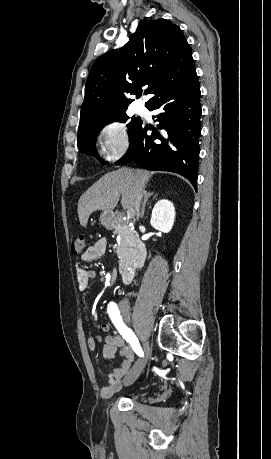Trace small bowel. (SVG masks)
<instances>
[{"instance_id":"1","label":"small bowel","mask_w":271,"mask_h":459,"mask_svg":"<svg viewBox=\"0 0 271 459\" xmlns=\"http://www.w3.org/2000/svg\"><path fill=\"white\" fill-rule=\"evenodd\" d=\"M107 249L106 238H99L81 256V262L86 263L101 258ZM95 277V272L88 270L83 266L77 268V283L80 291H84L88 288L90 281ZM101 330L103 332L110 331V325L108 323L101 324ZM87 346L90 350L94 351L97 348L95 338H87ZM103 355L107 360H111L119 355L122 360L120 366L114 369L108 379V383L100 389L101 398H110L113 394L118 392L124 379L131 373L132 363L134 361V352L131 347L126 344L121 335L117 332L107 336L103 346Z\"/></svg>"}]
</instances>
